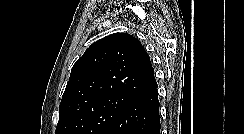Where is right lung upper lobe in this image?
<instances>
[{
  "instance_id": "cb5924a9",
  "label": "right lung upper lobe",
  "mask_w": 244,
  "mask_h": 134,
  "mask_svg": "<svg viewBox=\"0 0 244 134\" xmlns=\"http://www.w3.org/2000/svg\"><path fill=\"white\" fill-rule=\"evenodd\" d=\"M157 87L149 55L140 41L115 33L93 43L73 65L59 106V119L97 99L135 96Z\"/></svg>"
}]
</instances>
